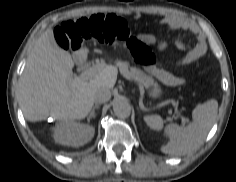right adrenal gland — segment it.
Masks as SVG:
<instances>
[{
	"label": "right adrenal gland",
	"mask_w": 236,
	"mask_h": 182,
	"mask_svg": "<svg viewBox=\"0 0 236 182\" xmlns=\"http://www.w3.org/2000/svg\"><path fill=\"white\" fill-rule=\"evenodd\" d=\"M100 106V104H95V106L93 107L92 111L90 112L89 116H88V121H90L91 118L95 117V110L98 109Z\"/></svg>",
	"instance_id": "1"
}]
</instances>
